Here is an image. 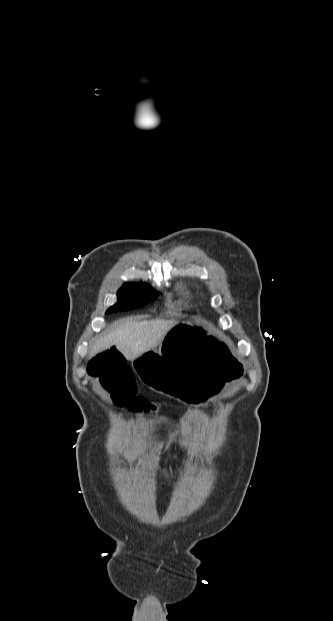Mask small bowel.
<instances>
[{"mask_svg":"<svg viewBox=\"0 0 333 621\" xmlns=\"http://www.w3.org/2000/svg\"><path fill=\"white\" fill-rule=\"evenodd\" d=\"M87 372L98 379L118 406L128 407L133 412L154 410L155 406L138 395L135 376L126 357L116 347H110L96 354L87 365Z\"/></svg>","mask_w":333,"mask_h":621,"instance_id":"small-bowel-1","label":"small bowel"}]
</instances>
